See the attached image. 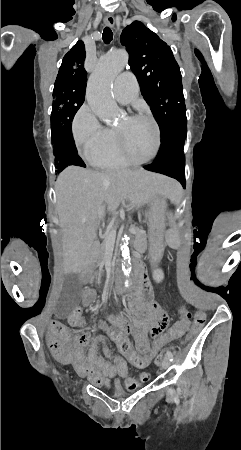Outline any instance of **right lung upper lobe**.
Wrapping results in <instances>:
<instances>
[{"instance_id":"obj_1","label":"right lung upper lobe","mask_w":241,"mask_h":450,"mask_svg":"<svg viewBox=\"0 0 241 450\" xmlns=\"http://www.w3.org/2000/svg\"><path fill=\"white\" fill-rule=\"evenodd\" d=\"M85 54L84 43L78 41L64 56L55 83H72L86 87Z\"/></svg>"}]
</instances>
